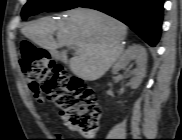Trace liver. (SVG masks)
I'll list each match as a JSON object with an SVG mask.
<instances>
[{
  "label": "liver",
  "mask_w": 182,
  "mask_h": 140,
  "mask_svg": "<svg viewBox=\"0 0 182 140\" xmlns=\"http://www.w3.org/2000/svg\"><path fill=\"white\" fill-rule=\"evenodd\" d=\"M64 23L43 17L25 25L22 34L52 53L62 46H76L77 52L63 61L77 77L94 81L102 77L123 52L122 40L127 27L120 21L99 11L87 8L69 10ZM57 33V41L53 38Z\"/></svg>",
  "instance_id": "6515ba94"
}]
</instances>
